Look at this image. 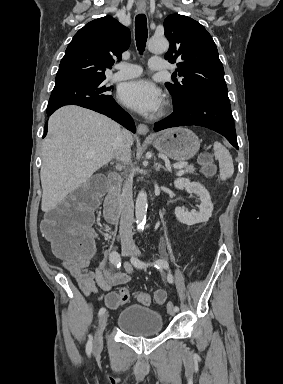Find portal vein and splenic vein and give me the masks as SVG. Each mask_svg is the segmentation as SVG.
<instances>
[{
  "instance_id": "obj_1",
  "label": "portal vein and splenic vein",
  "mask_w": 283,
  "mask_h": 384,
  "mask_svg": "<svg viewBox=\"0 0 283 384\" xmlns=\"http://www.w3.org/2000/svg\"><path fill=\"white\" fill-rule=\"evenodd\" d=\"M88 158H92L91 154H88ZM188 166V162H179V164H174V168L176 170H181V168H186Z\"/></svg>"
}]
</instances>
